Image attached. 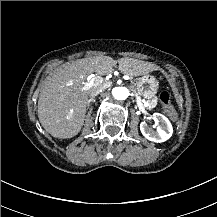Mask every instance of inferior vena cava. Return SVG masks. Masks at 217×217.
Wrapping results in <instances>:
<instances>
[{"label":"inferior vena cava","instance_id":"1","mask_svg":"<svg viewBox=\"0 0 217 217\" xmlns=\"http://www.w3.org/2000/svg\"><path fill=\"white\" fill-rule=\"evenodd\" d=\"M106 87L104 85H97L90 89V95L92 97L98 95L101 91L105 90Z\"/></svg>","mask_w":217,"mask_h":217}]
</instances>
